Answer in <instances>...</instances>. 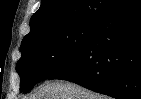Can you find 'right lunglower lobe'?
<instances>
[{"instance_id": "1", "label": "right lung lower lobe", "mask_w": 141, "mask_h": 99, "mask_svg": "<svg viewBox=\"0 0 141 99\" xmlns=\"http://www.w3.org/2000/svg\"><path fill=\"white\" fill-rule=\"evenodd\" d=\"M48 79L71 81L116 99H141V0L100 20L86 46Z\"/></svg>"}]
</instances>
